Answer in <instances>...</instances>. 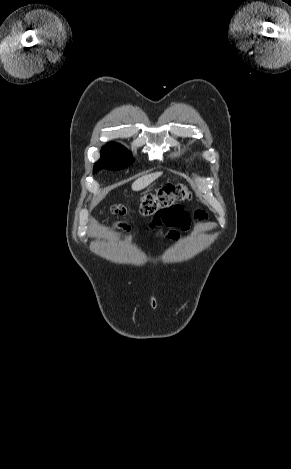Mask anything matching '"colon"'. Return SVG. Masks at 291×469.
I'll list each match as a JSON object with an SVG mask.
<instances>
[{
	"label": "colon",
	"instance_id": "1",
	"mask_svg": "<svg viewBox=\"0 0 291 469\" xmlns=\"http://www.w3.org/2000/svg\"><path fill=\"white\" fill-rule=\"evenodd\" d=\"M190 192L181 185H167L155 193L144 195L139 202L138 211L142 216H157L176 203L188 200ZM112 211L118 215H125L128 211L124 205H115Z\"/></svg>",
	"mask_w": 291,
	"mask_h": 469
}]
</instances>
